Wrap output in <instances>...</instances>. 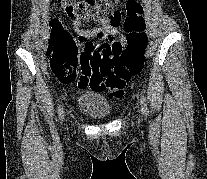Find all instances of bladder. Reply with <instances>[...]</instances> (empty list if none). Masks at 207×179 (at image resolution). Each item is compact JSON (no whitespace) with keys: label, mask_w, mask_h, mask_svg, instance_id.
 I'll return each mask as SVG.
<instances>
[{"label":"bladder","mask_w":207,"mask_h":179,"mask_svg":"<svg viewBox=\"0 0 207 179\" xmlns=\"http://www.w3.org/2000/svg\"><path fill=\"white\" fill-rule=\"evenodd\" d=\"M78 108L83 114L95 120L107 119L112 113L105 96L95 90L78 96Z\"/></svg>","instance_id":"1"}]
</instances>
